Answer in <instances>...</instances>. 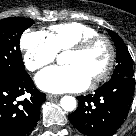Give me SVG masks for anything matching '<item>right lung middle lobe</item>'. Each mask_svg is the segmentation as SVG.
Instances as JSON below:
<instances>
[{
    "mask_svg": "<svg viewBox=\"0 0 136 136\" xmlns=\"http://www.w3.org/2000/svg\"><path fill=\"white\" fill-rule=\"evenodd\" d=\"M33 24L29 18L0 20V82L14 81L27 73L21 59L19 42L22 33Z\"/></svg>",
    "mask_w": 136,
    "mask_h": 136,
    "instance_id": "right-lung-middle-lobe-1",
    "label": "right lung middle lobe"
}]
</instances>
